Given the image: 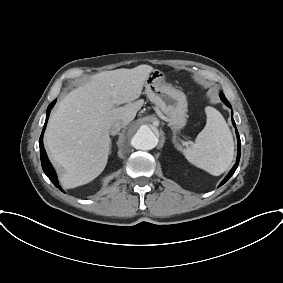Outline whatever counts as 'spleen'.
I'll return each instance as SVG.
<instances>
[{
  "instance_id": "1",
  "label": "spleen",
  "mask_w": 283,
  "mask_h": 283,
  "mask_svg": "<svg viewBox=\"0 0 283 283\" xmlns=\"http://www.w3.org/2000/svg\"><path fill=\"white\" fill-rule=\"evenodd\" d=\"M204 129L197 135L195 144L181 149L185 158L211 175L219 176L232 163L234 142L231 131L221 113L213 107L205 108Z\"/></svg>"
}]
</instances>
